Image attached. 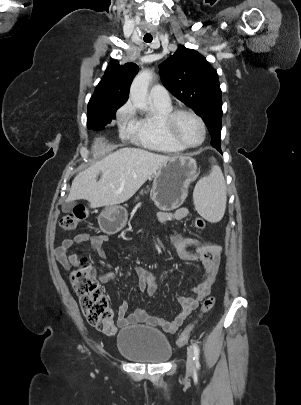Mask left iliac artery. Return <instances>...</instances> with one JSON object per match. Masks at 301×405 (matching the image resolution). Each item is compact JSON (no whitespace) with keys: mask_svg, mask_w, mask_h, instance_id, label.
<instances>
[{"mask_svg":"<svg viewBox=\"0 0 301 405\" xmlns=\"http://www.w3.org/2000/svg\"><path fill=\"white\" fill-rule=\"evenodd\" d=\"M192 347H193V352H194L195 365H196V367L198 368L199 365H200V364H199V354H200L199 348H198V346H197L196 343H193Z\"/></svg>","mask_w":301,"mask_h":405,"instance_id":"44dca946","label":"left iliac artery"}]
</instances>
